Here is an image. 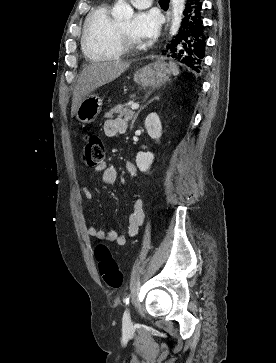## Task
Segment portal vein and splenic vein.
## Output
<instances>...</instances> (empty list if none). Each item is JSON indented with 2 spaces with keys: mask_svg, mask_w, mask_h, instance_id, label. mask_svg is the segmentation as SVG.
Returning a JSON list of instances; mask_svg holds the SVG:
<instances>
[{
  "mask_svg": "<svg viewBox=\"0 0 276 363\" xmlns=\"http://www.w3.org/2000/svg\"><path fill=\"white\" fill-rule=\"evenodd\" d=\"M138 108H139V104H137V103H134V104L131 105L132 110H136Z\"/></svg>",
  "mask_w": 276,
  "mask_h": 363,
  "instance_id": "portal-vein-and-splenic-vein-1",
  "label": "portal vein and splenic vein"
}]
</instances>
